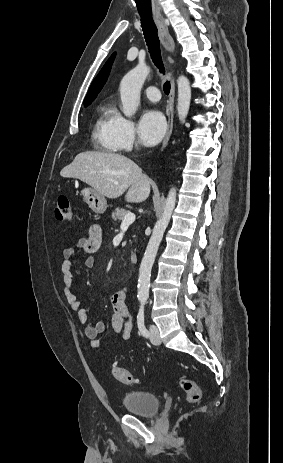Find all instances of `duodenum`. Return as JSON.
<instances>
[{"instance_id": "1", "label": "duodenum", "mask_w": 283, "mask_h": 463, "mask_svg": "<svg viewBox=\"0 0 283 463\" xmlns=\"http://www.w3.org/2000/svg\"><path fill=\"white\" fill-rule=\"evenodd\" d=\"M138 262V256L136 254H132L130 256V263L131 265H136Z\"/></svg>"}]
</instances>
